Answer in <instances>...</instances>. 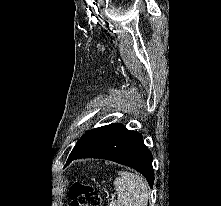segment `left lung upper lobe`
<instances>
[{
	"instance_id": "obj_1",
	"label": "left lung upper lobe",
	"mask_w": 221,
	"mask_h": 206,
	"mask_svg": "<svg viewBox=\"0 0 221 206\" xmlns=\"http://www.w3.org/2000/svg\"><path fill=\"white\" fill-rule=\"evenodd\" d=\"M108 126V125H107ZM102 126L99 128L92 129L90 131H87L77 142L75 147L73 148L71 154L69 155V158L77 155L80 151H82L85 147H87L96 137H98L102 131L107 127ZM68 158V159H69Z\"/></svg>"
}]
</instances>
